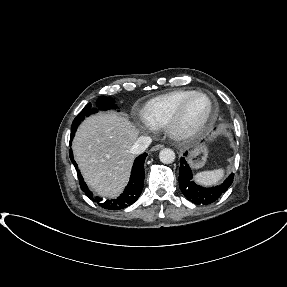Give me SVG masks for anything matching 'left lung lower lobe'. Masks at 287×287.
I'll return each mask as SVG.
<instances>
[{"instance_id":"left-lung-lower-lobe-1","label":"left lung lower lobe","mask_w":287,"mask_h":287,"mask_svg":"<svg viewBox=\"0 0 287 287\" xmlns=\"http://www.w3.org/2000/svg\"><path fill=\"white\" fill-rule=\"evenodd\" d=\"M187 152L184 157L180 159L179 169V187L183 195L195 204H210L216 201L232 184L234 174L231 173L229 177L220 185L205 188L197 185L192 180V171L186 162Z\"/></svg>"}]
</instances>
